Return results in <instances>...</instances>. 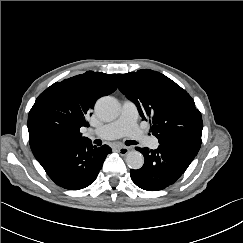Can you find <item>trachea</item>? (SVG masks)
Masks as SVG:
<instances>
[{
	"mask_svg": "<svg viewBox=\"0 0 243 243\" xmlns=\"http://www.w3.org/2000/svg\"><path fill=\"white\" fill-rule=\"evenodd\" d=\"M125 144H126V145H136L137 142H136V141H133V140H127V141L125 142Z\"/></svg>",
	"mask_w": 243,
	"mask_h": 243,
	"instance_id": "obj_1",
	"label": "trachea"
}]
</instances>
